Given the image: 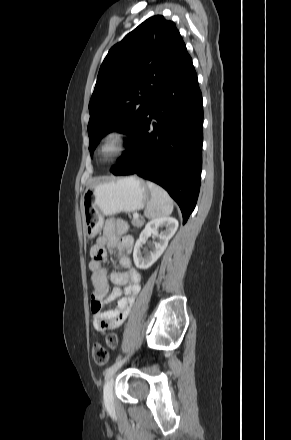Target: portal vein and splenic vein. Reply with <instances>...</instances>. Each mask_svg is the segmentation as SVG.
Masks as SVG:
<instances>
[{
    "mask_svg": "<svg viewBox=\"0 0 291 440\" xmlns=\"http://www.w3.org/2000/svg\"><path fill=\"white\" fill-rule=\"evenodd\" d=\"M133 217L136 218V219H138V218H139V214H138V213H134V214H133Z\"/></svg>",
    "mask_w": 291,
    "mask_h": 440,
    "instance_id": "obj_1",
    "label": "portal vein and splenic vein"
}]
</instances>
